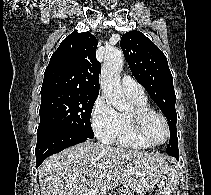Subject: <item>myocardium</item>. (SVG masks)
I'll list each match as a JSON object with an SVG mask.
<instances>
[{"instance_id":"obj_1","label":"myocardium","mask_w":211,"mask_h":195,"mask_svg":"<svg viewBox=\"0 0 211 195\" xmlns=\"http://www.w3.org/2000/svg\"><path fill=\"white\" fill-rule=\"evenodd\" d=\"M153 116L159 117L163 121L166 128V137L162 142L159 143L151 142L145 135L144 131L146 122ZM129 121L131 124L132 131L136 136V138L149 147L160 146L166 143L170 137V127L166 117L162 113L155 111L153 109L135 108L131 113H129Z\"/></svg>"}]
</instances>
